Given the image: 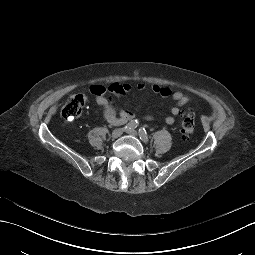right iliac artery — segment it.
<instances>
[{"label": "right iliac artery", "instance_id": "right-iliac-artery-1", "mask_svg": "<svg viewBox=\"0 0 255 255\" xmlns=\"http://www.w3.org/2000/svg\"><path fill=\"white\" fill-rule=\"evenodd\" d=\"M138 126V120H132L124 126L125 129H134Z\"/></svg>", "mask_w": 255, "mask_h": 255}]
</instances>
